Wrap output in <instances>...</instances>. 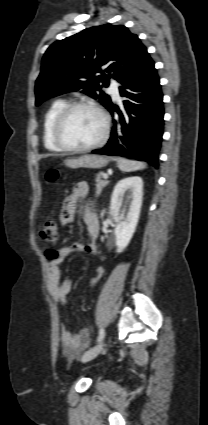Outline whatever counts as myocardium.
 Wrapping results in <instances>:
<instances>
[{
	"label": "myocardium",
	"mask_w": 208,
	"mask_h": 425,
	"mask_svg": "<svg viewBox=\"0 0 208 425\" xmlns=\"http://www.w3.org/2000/svg\"><path fill=\"white\" fill-rule=\"evenodd\" d=\"M79 108H86V109L93 110L100 116L103 123V130L99 139L95 141L94 143L89 144L87 146H83V147H76V146L69 145L62 138V131L66 124L67 119L69 118L70 114L74 110ZM109 131H110V118L108 114L105 112V110L93 102L80 100V101H74V102L66 104V106L60 111L53 125L52 137L55 144L64 151L71 152V153H85L102 146L108 139Z\"/></svg>",
	"instance_id": "f54148a6"
}]
</instances>
